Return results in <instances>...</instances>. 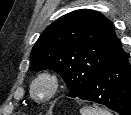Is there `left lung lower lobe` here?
I'll return each mask as SVG.
<instances>
[{"mask_svg": "<svg viewBox=\"0 0 131 115\" xmlns=\"http://www.w3.org/2000/svg\"><path fill=\"white\" fill-rule=\"evenodd\" d=\"M77 97L105 105L120 115H131V66L127 54L98 74Z\"/></svg>", "mask_w": 131, "mask_h": 115, "instance_id": "left-lung-lower-lobe-1", "label": "left lung lower lobe"}]
</instances>
